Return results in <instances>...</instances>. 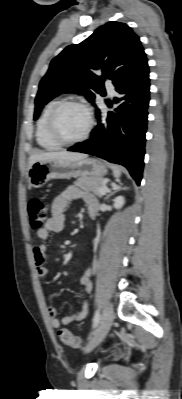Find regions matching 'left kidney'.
Wrapping results in <instances>:
<instances>
[{"instance_id": "left-kidney-1", "label": "left kidney", "mask_w": 182, "mask_h": 399, "mask_svg": "<svg viewBox=\"0 0 182 399\" xmlns=\"http://www.w3.org/2000/svg\"><path fill=\"white\" fill-rule=\"evenodd\" d=\"M125 204V199L123 196H118L114 199V208L120 209Z\"/></svg>"}]
</instances>
